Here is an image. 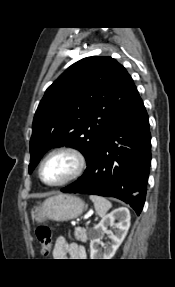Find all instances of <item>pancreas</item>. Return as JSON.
Here are the masks:
<instances>
[{
    "mask_svg": "<svg viewBox=\"0 0 175 287\" xmlns=\"http://www.w3.org/2000/svg\"><path fill=\"white\" fill-rule=\"evenodd\" d=\"M75 238L81 242L87 241V229L86 228H75Z\"/></svg>",
    "mask_w": 175,
    "mask_h": 287,
    "instance_id": "1",
    "label": "pancreas"
}]
</instances>
